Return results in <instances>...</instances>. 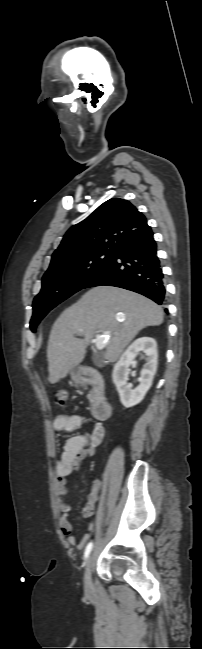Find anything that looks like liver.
Returning <instances> with one entry per match:
<instances>
[{"mask_svg": "<svg viewBox=\"0 0 202 649\" xmlns=\"http://www.w3.org/2000/svg\"><path fill=\"white\" fill-rule=\"evenodd\" d=\"M163 320V309L136 292L111 286L90 289L52 327L47 346L49 382H59L83 361L96 333L108 335L104 357L114 362L141 329ZM75 334L84 338L76 339Z\"/></svg>", "mask_w": 202, "mask_h": 649, "instance_id": "6515ba94", "label": "liver"}]
</instances>
